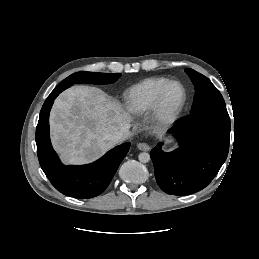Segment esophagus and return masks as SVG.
I'll return each mask as SVG.
<instances>
[{"label":"esophagus","instance_id":"obj_1","mask_svg":"<svg viewBox=\"0 0 259 259\" xmlns=\"http://www.w3.org/2000/svg\"><path fill=\"white\" fill-rule=\"evenodd\" d=\"M137 148L141 151H149L150 150V146L147 143H138L137 144Z\"/></svg>","mask_w":259,"mask_h":259}]
</instances>
